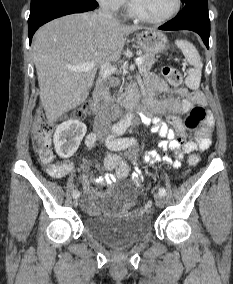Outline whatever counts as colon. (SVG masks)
<instances>
[{
  "instance_id": "colon-1",
  "label": "colon",
  "mask_w": 233,
  "mask_h": 284,
  "mask_svg": "<svg viewBox=\"0 0 233 284\" xmlns=\"http://www.w3.org/2000/svg\"><path fill=\"white\" fill-rule=\"evenodd\" d=\"M162 73L167 81L173 86H179L182 83L180 71L174 67L166 66ZM91 108V103L86 102L80 108L73 111L74 119L81 120L86 117ZM206 119V111L200 106H194L184 120V127L188 131L196 130ZM55 125L47 119L45 113L39 110L36 115V121L33 129L35 151L42 163L48 164L53 158L51 150V135ZM200 158L198 155H191L188 159L190 165H197ZM105 167L110 171L115 179H124L129 172L127 164L117 155L107 157ZM142 213H149L151 206L146 204L139 209Z\"/></svg>"
}]
</instances>
